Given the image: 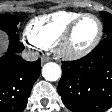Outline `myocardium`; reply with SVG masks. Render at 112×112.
<instances>
[{
    "label": "myocardium",
    "instance_id": "obj_1",
    "mask_svg": "<svg viewBox=\"0 0 112 112\" xmlns=\"http://www.w3.org/2000/svg\"><path fill=\"white\" fill-rule=\"evenodd\" d=\"M85 17H93L98 23V32L94 40L84 49L72 51L67 45L78 23ZM103 35V24L98 16L92 13H82L76 17L61 34L55 44L56 54L66 60H78L90 54L100 43Z\"/></svg>",
    "mask_w": 112,
    "mask_h": 112
}]
</instances>
